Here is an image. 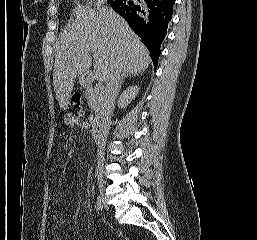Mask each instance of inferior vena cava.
<instances>
[{"label": "inferior vena cava", "mask_w": 257, "mask_h": 240, "mask_svg": "<svg viewBox=\"0 0 257 240\" xmlns=\"http://www.w3.org/2000/svg\"><path fill=\"white\" fill-rule=\"evenodd\" d=\"M122 73L118 66H116L109 78L105 82V86L102 89L103 102L101 106V132H102V143L105 144L106 136L110 125L111 116L114 110V104L119 92V86L122 80ZM102 144V145H103ZM103 154H98L97 171H101L104 165Z\"/></svg>", "instance_id": "602c4592"}]
</instances>
